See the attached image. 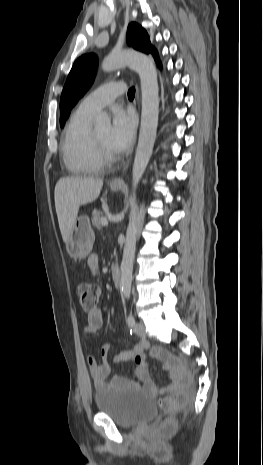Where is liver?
<instances>
[{"instance_id": "obj_1", "label": "liver", "mask_w": 263, "mask_h": 465, "mask_svg": "<svg viewBox=\"0 0 263 465\" xmlns=\"http://www.w3.org/2000/svg\"><path fill=\"white\" fill-rule=\"evenodd\" d=\"M103 187L97 177H63L55 186L54 198L59 228L66 243L80 206L95 201Z\"/></svg>"}]
</instances>
